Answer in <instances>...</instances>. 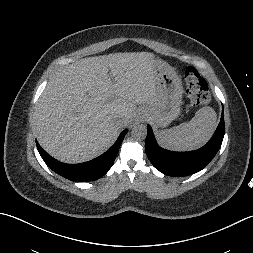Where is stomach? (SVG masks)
<instances>
[{"mask_svg":"<svg viewBox=\"0 0 253 253\" xmlns=\"http://www.w3.org/2000/svg\"><path fill=\"white\" fill-rule=\"evenodd\" d=\"M155 81L158 99L145 112L155 126L166 127L180 114L183 87L175 70L162 60L155 61Z\"/></svg>","mask_w":253,"mask_h":253,"instance_id":"0dacf381","label":"stomach"}]
</instances>
